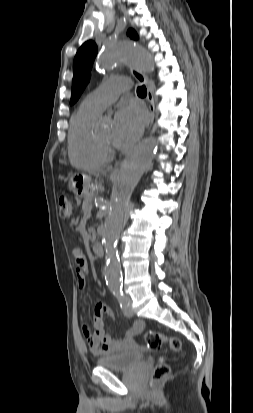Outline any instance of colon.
Wrapping results in <instances>:
<instances>
[{
  "label": "colon",
  "mask_w": 253,
  "mask_h": 413,
  "mask_svg": "<svg viewBox=\"0 0 253 413\" xmlns=\"http://www.w3.org/2000/svg\"><path fill=\"white\" fill-rule=\"evenodd\" d=\"M59 213L62 219L69 220L72 216V204L67 197L62 196L59 199ZM144 340L147 347L151 350H158L167 345L172 352H177L181 348V342L177 337L168 336L160 332L148 331L144 334ZM170 373V366L161 358L153 370L151 387H155Z\"/></svg>",
  "instance_id": "5ec220e1"
}]
</instances>
